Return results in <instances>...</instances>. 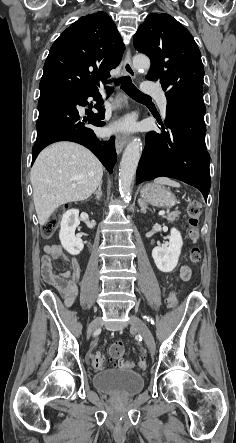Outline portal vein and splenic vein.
Listing matches in <instances>:
<instances>
[{
  "label": "portal vein and splenic vein",
  "instance_id": "1",
  "mask_svg": "<svg viewBox=\"0 0 236 443\" xmlns=\"http://www.w3.org/2000/svg\"><path fill=\"white\" fill-rule=\"evenodd\" d=\"M73 187H76V185H73ZM164 214H165V211L159 212V215H164Z\"/></svg>",
  "mask_w": 236,
  "mask_h": 443
}]
</instances>
